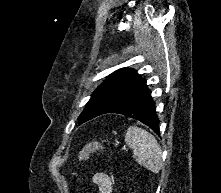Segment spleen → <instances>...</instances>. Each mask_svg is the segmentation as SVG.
<instances>
[{
  "mask_svg": "<svg viewBox=\"0 0 221 193\" xmlns=\"http://www.w3.org/2000/svg\"><path fill=\"white\" fill-rule=\"evenodd\" d=\"M126 144L133 150L136 161L153 173L162 167V150L156 138L146 130L131 126L125 134Z\"/></svg>",
  "mask_w": 221,
  "mask_h": 193,
  "instance_id": "spleen-1",
  "label": "spleen"
}]
</instances>
